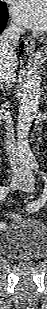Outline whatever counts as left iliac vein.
Listing matches in <instances>:
<instances>
[{
  "label": "left iliac vein",
  "instance_id": "left-iliac-vein-1",
  "mask_svg": "<svg viewBox=\"0 0 47 309\" xmlns=\"http://www.w3.org/2000/svg\"><path fill=\"white\" fill-rule=\"evenodd\" d=\"M20 189L25 192L32 191L34 190L33 183H29L28 181H25L24 184L20 187Z\"/></svg>",
  "mask_w": 47,
  "mask_h": 309
}]
</instances>
